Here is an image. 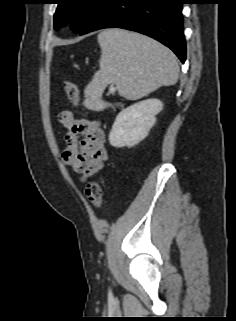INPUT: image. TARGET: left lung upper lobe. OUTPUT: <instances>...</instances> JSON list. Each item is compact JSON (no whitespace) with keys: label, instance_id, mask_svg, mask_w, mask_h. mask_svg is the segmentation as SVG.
Segmentation results:
<instances>
[{"label":"left lung upper lobe","instance_id":"1","mask_svg":"<svg viewBox=\"0 0 236 321\" xmlns=\"http://www.w3.org/2000/svg\"><path fill=\"white\" fill-rule=\"evenodd\" d=\"M54 28L70 23L74 32L80 33L106 0H57Z\"/></svg>","mask_w":236,"mask_h":321}]
</instances>
